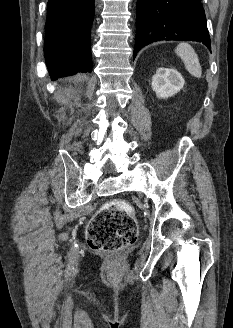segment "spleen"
Wrapping results in <instances>:
<instances>
[{
    "mask_svg": "<svg viewBox=\"0 0 233 328\" xmlns=\"http://www.w3.org/2000/svg\"><path fill=\"white\" fill-rule=\"evenodd\" d=\"M175 53L181 58L187 71L196 78L202 75L201 65L193 47L186 42L179 43Z\"/></svg>",
    "mask_w": 233,
    "mask_h": 328,
    "instance_id": "3e777b00",
    "label": "spleen"
}]
</instances>
